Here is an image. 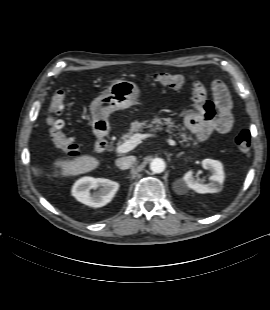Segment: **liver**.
Instances as JSON below:
<instances>
[{"label":"liver","mask_w":270,"mask_h":310,"mask_svg":"<svg viewBox=\"0 0 270 310\" xmlns=\"http://www.w3.org/2000/svg\"><path fill=\"white\" fill-rule=\"evenodd\" d=\"M100 165V161L90 155H81L73 160L57 159L53 162L54 168H61L60 174L63 177L77 176L95 170ZM33 172L37 177L41 176V172L37 168H33ZM58 175V171H54V176Z\"/></svg>","instance_id":"liver-1"}]
</instances>
